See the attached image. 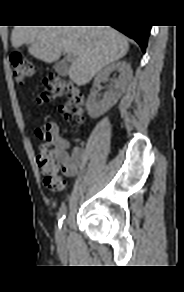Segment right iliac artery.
<instances>
[{
    "mask_svg": "<svg viewBox=\"0 0 184 292\" xmlns=\"http://www.w3.org/2000/svg\"><path fill=\"white\" fill-rule=\"evenodd\" d=\"M65 217H66V205H65V203H63L61 205L60 209H59V212H58V226H59V229L61 228Z\"/></svg>",
    "mask_w": 184,
    "mask_h": 292,
    "instance_id": "right-iliac-artery-1",
    "label": "right iliac artery"
}]
</instances>
